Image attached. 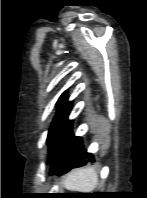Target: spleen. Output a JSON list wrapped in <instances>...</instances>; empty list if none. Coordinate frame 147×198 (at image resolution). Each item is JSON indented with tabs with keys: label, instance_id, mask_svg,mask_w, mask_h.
Listing matches in <instances>:
<instances>
[{
	"label": "spleen",
	"instance_id": "spleen-1",
	"mask_svg": "<svg viewBox=\"0 0 147 198\" xmlns=\"http://www.w3.org/2000/svg\"><path fill=\"white\" fill-rule=\"evenodd\" d=\"M98 183V175L93 167L80 168L71 171L64 179L63 185L67 190L90 193Z\"/></svg>",
	"mask_w": 147,
	"mask_h": 198
}]
</instances>
